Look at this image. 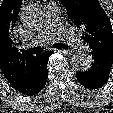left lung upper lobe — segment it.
<instances>
[{
	"label": "left lung upper lobe",
	"instance_id": "1",
	"mask_svg": "<svg viewBox=\"0 0 113 113\" xmlns=\"http://www.w3.org/2000/svg\"><path fill=\"white\" fill-rule=\"evenodd\" d=\"M73 23L84 30L81 37L93 53L113 57V33L108 16L98 0H61Z\"/></svg>",
	"mask_w": 113,
	"mask_h": 113
}]
</instances>
